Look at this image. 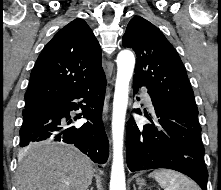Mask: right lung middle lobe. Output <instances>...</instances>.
<instances>
[{"label":"right lung middle lobe","instance_id":"obj_1","mask_svg":"<svg viewBox=\"0 0 221 190\" xmlns=\"http://www.w3.org/2000/svg\"><path fill=\"white\" fill-rule=\"evenodd\" d=\"M33 110H35V109H33ZM33 110H23L22 114H23V116H24V115L30 113V112L33 111Z\"/></svg>","mask_w":221,"mask_h":190}]
</instances>
